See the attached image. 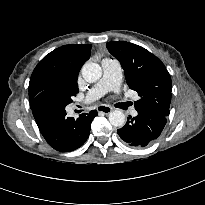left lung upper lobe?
I'll return each mask as SVG.
<instances>
[{
  "label": "left lung upper lobe",
  "instance_id": "1",
  "mask_svg": "<svg viewBox=\"0 0 205 205\" xmlns=\"http://www.w3.org/2000/svg\"><path fill=\"white\" fill-rule=\"evenodd\" d=\"M109 52L124 69L129 88L138 92L136 110L168 116L171 102V77L164 64L145 48L126 41L108 42Z\"/></svg>",
  "mask_w": 205,
  "mask_h": 205
}]
</instances>
